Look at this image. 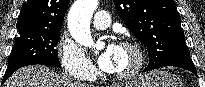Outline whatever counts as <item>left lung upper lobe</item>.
<instances>
[{"mask_svg": "<svg viewBox=\"0 0 205 87\" xmlns=\"http://www.w3.org/2000/svg\"><path fill=\"white\" fill-rule=\"evenodd\" d=\"M119 17L148 49V69L189 53L174 0H114Z\"/></svg>", "mask_w": 205, "mask_h": 87, "instance_id": "5c2ea615", "label": "left lung upper lobe"}]
</instances>
